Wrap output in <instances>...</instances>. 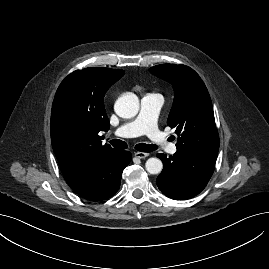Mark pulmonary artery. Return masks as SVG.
Instances as JSON below:
<instances>
[{"label": "pulmonary artery", "instance_id": "e3ab8cb5", "mask_svg": "<svg viewBox=\"0 0 269 269\" xmlns=\"http://www.w3.org/2000/svg\"><path fill=\"white\" fill-rule=\"evenodd\" d=\"M163 105V97L160 94H146L141 99L138 115L122 124L114 131V135L122 138L147 135L157 146L167 152L175 154L177 146L169 142L165 135L157 127V116Z\"/></svg>", "mask_w": 269, "mask_h": 269}]
</instances>
